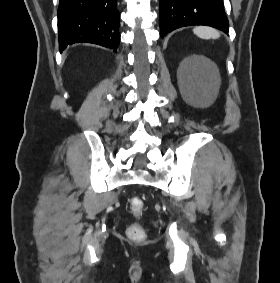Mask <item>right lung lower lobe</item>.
Returning a JSON list of instances; mask_svg holds the SVG:
<instances>
[{
	"label": "right lung lower lobe",
	"mask_w": 280,
	"mask_h": 283,
	"mask_svg": "<svg viewBox=\"0 0 280 283\" xmlns=\"http://www.w3.org/2000/svg\"><path fill=\"white\" fill-rule=\"evenodd\" d=\"M117 0H60L59 50L74 43H93L117 50L120 15Z\"/></svg>",
	"instance_id": "obj_1"
}]
</instances>
